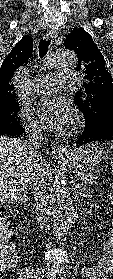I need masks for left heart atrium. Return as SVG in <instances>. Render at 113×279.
I'll list each match as a JSON object with an SVG mask.
<instances>
[{
    "label": "left heart atrium",
    "instance_id": "39dd6f15",
    "mask_svg": "<svg viewBox=\"0 0 113 279\" xmlns=\"http://www.w3.org/2000/svg\"><path fill=\"white\" fill-rule=\"evenodd\" d=\"M38 115L46 129L61 132L74 121V111L70 103L62 97L46 99L38 109Z\"/></svg>",
    "mask_w": 113,
    "mask_h": 279
}]
</instances>
